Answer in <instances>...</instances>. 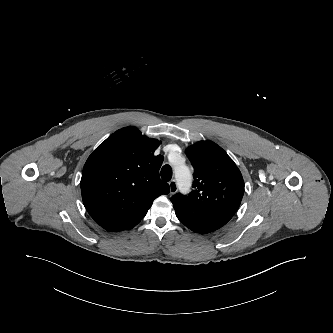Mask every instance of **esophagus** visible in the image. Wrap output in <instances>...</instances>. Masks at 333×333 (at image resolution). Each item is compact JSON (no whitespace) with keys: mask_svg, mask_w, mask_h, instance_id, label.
<instances>
[{"mask_svg":"<svg viewBox=\"0 0 333 333\" xmlns=\"http://www.w3.org/2000/svg\"><path fill=\"white\" fill-rule=\"evenodd\" d=\"M169 190L170 194H174L177 191V183L174 179L169 182Z\"/></svg>","mask_w":333,"mask_h":333,"instance_id":"esophagus-1","label":"esophagus"}]
</instances>
